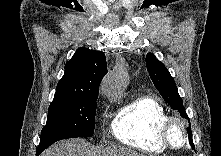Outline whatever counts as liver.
Instances as JSON below:
<instances>
[{
	"label": "liver",
	"instance_id": "6515ba94",
	"mask_svg": "<svg viewBox=\"0 0 221 156\" xmlns=\"http://www.w3.org/2000/svg\"><path fill=\"white\" fill-rule=\"evenodd\" d=\"M42 156H143L124 147L95 148L83 139L61 141L48 148Z\"/></svg>",
	"mask_w": 221,
	"mask_h": 156
}]
</instances>
